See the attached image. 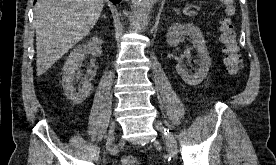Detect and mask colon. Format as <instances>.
<instances>
[{
    "label": "colon",
    "mask_w": 276,
    "mask_h": 165,
    "mask_svg": "<svg viewBox=\"0 0 276 165\" xmlns=\"http://www.w3.org/2000/svg\"><path fill=\"white\" fill-rule=\"evenodd\" d=\"M220 41L223 46L224 62L229 73H238L241 68V56L237 44L236 32L229 19H224L221 23ZM122 164L139 165V159L135 155H126L122 159Z\"/></svg>",
    "instance_id": "obj_1"
}]
</instances>
